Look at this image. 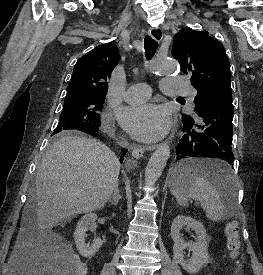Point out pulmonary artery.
Wrapping results in <instances>:
<instances>
[{"label": "pulmonary artery", "instance_id": "e3ab8cb5", "mask_svg": "<svg viewBox=\"0 0 263 275\" xmlns=\"http://www.w3.org/2000/svg\"><path fill=\"white\" fill-rule=\"evenodd\" d=\"M161 90L168 96H188L190 101L194 100L196 91L177 77L165 78L161 82ZM151 95V88L146 83L131 85L125 93V100L130 103H140L146 101Z\"/></svg>", "mask_w": 263, "mask_h": 275}]
</instances>
